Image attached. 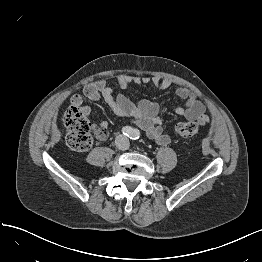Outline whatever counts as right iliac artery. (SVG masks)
Instances as JSON below:
<instances>
[{
    "label": "right iliac artery",
    "instance_id": "obj_1",
    "mask_svg": "<svg viewBox=\"0 0 262 262\" xmlns=\"http://www.w3.org/2000/svg\"><path fill=\"white\" fill-rule=\"evenodd\" d=\"M132 131H133V129L131 127H129V126H125V127L122 128V133L125 136H128V137L131 136Z\"/></svg>",
    "mask_w": 262,
    "mask_h": 262
}]
</instances>
